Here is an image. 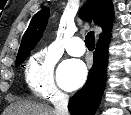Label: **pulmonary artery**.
Masks as SVG:
<instances>
[{
  "label": "pulmonary artery",
  "instance_id": "pulmonary-artery-1",
  "mask_svg": "<svg viewBox=\"0 0 131 115\" xmlns=\"http://www.w3.org/2000/svg\"><path fill=\"white\" fill-rule=\"evenodd\" d=\"M66 50L71 56H82L85 52L83 40L78 36L72 37L67 44Z\"/></svg>",
  "mask_w": 131,
  "mask_h": 115
}]
</instances>
